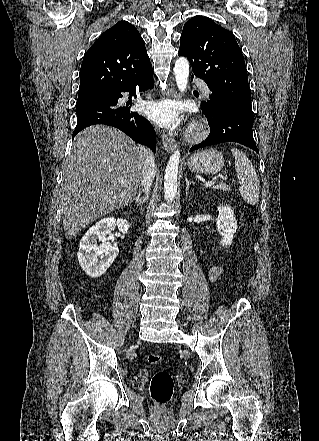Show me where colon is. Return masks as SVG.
<instances>
[{"label": "colon", "mask_w": 319, "mask_h": 441, "mask_svg": "<svg viewBox=\"0 0 319 441\" xmlns=\"http://www.w3.org/2000/svg\"><path fill=\"white\" fill-rule=\"evenodd\" d=\"M147 361L151 365H157L162 361L158 354H149ZM174 390V380L170 372L166 370L157 371L150 382V395L154 402L163 409L170 401Z\"/></svg>", "instance_id": "colon-1"}]
</instances>
